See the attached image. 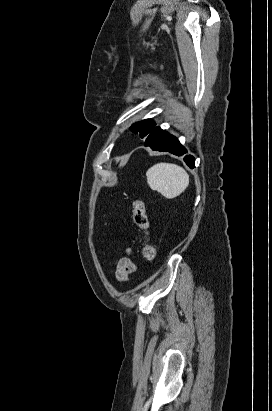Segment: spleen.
Here are the masks:
<instances>
[{"label":"spleen","instance_id":"1","mask_svg":"<svg viewBox=\"0 0 272 411\" xmlns=\"http://www.w3.org/2000/svg\"><path fill=\"white\" fill-rule=\"evenodd\" d=\"M146 176L150 188L167 199L179 196L189 185L188 173L176 164H155L147 170Z\"/></svg>","mask_w":272,"mask_h":411}]
</instances>
